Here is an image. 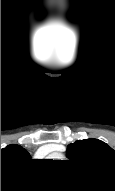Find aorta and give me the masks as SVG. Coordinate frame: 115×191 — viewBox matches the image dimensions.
I'll list each match as a JSON object with an SVG mask.
<instances>
[{
  "label": "aorta",
  "instance_id": "obj_1",
  "mask_svg": "<svg viewBox=\"0 0 115 191\" xmlns=\"http://www.w3.org/2000/svg\"><path fill=\"white\" fill-rule=\"evenodd\" d=\"M56 156V158H61L62 156L61 155H59V154H57V155H55Z\"/></svg>",
  "mask_w": 115,
  "mask_h": 191
}]
</instances>
